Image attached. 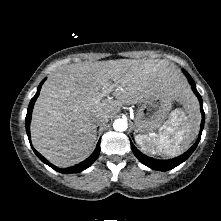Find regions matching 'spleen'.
<instances>
[{
    "mask_svg": "<svg viewBox=\"0 0 221 221\" xmlns=\"http://www.w3.org/2000/svg\"><path fill=\"white\" fill-rule=\"evenodd\" d=\"M188 114V115H187ZM196 114L191 107L185 111L175 109L159 134L135 136L136 143L145 152L164 156H177L188 149L195 137Z\"/></svg>",
    "mask_w": 221,
    "mask_h": 221,
    "instance_id": "obj_1",
    "label": "spleen"
}]
</instances>
